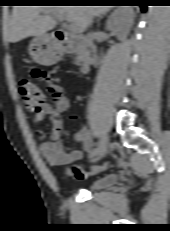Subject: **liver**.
Segmentation results:
<instances>
[{
  "label": "liver",
  "mask_w": 170,
  "mask_h": 231,
  "mask_svg": "<svg viewBox=\"0 0 170 231\" xmlns=\"http://www.w3.org/2000/svg\"><path fill=\"white\" fill-rule=\"evenodd\" d=\"M111 6H14L11 20L5 29L7 41L16 43L30 36H44L52 30L56 21L55 14L75 25L83 33L94 17L106 13Z\"/></svg>",
  "instance_id": "liver-1"
}]
</instances>
